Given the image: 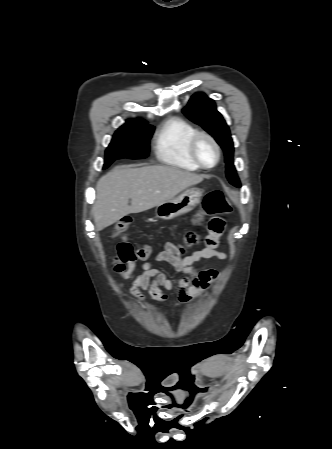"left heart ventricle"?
I'll use <instances>...</instances> for the list:
<instances>
[{
	"label": "left heart ventricle",
	"instance_id": "1",
	"mask_svg": "<svg viewBox=\"0 0 332 449\" xmlns=\"http://www.w3.org/2000/svg\"><path fill=\"white\" fill-rule=\"evenodd\" d=\"M197 153L201 161L206 165H212L216 159L215 149L206 139H201L199 141L197 145Z\"/></svg>",
	"mask_w": 332,
	"mask_h": 449
}]
</instances>
